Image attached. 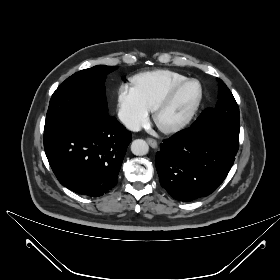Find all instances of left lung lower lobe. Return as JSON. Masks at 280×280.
Masks as SVG:
<instances>
[{"instance_id":"0a47b994","label":"left lung lower lobe","mask_w":280,"mask_h":280,"mask_svg":"<svg viewBox=\"0 0 280 280\" xmlns=\"http://www.w3.org/2000/svg\"><path fill=\"white\" fill-rule=\"evenodd\" d=\"M238 146V140L209 126L192 125L176 133L156 154L161 186L182 202L208 196L226 178Z\"/></svg>"}]
</instances>
